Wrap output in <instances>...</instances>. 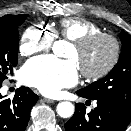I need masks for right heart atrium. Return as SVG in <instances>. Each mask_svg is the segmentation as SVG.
I'll list each match as a JSON object with an SVG mask.
<instances>
[{
  "label": "right heart atrium",
  "mask_w": 131,
  "mask_h": 131,
  "mask_svg": "<svg viewBox=\"0 0 131 131\" xmlns=\"http://www.w3.org/2000/svg\"><path fill=\"white\" fill-rule=\"evenodd\" d=\"M55 38L56 35L51 28L39 24L30 25L21 36L19 52L23 56H29L47 51L53 45Z\"/></svg>",
  "instance_id": "1"
}]
</instances>
